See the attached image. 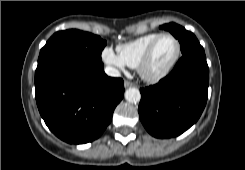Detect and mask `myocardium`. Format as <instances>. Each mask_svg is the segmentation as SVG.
Listing matches in <instances>:
<instances>
[{
  "mask_svg": "<svg viewBox=\"0 0 245 170\" xmlns=\"http://www.w3.org/2000/svg\"><path fill=\"white\" fill-rule=\"evenodd\" d=\"M164 37H170L173 40L175 44L174 55L172 59L170 60V62L163 69H161L158 72H150L147 69V65L152 57L153 51L157 43L160 41V39ZM179 57H180V44H179L178 39L171 33H161L155 39H153L150 42V44L147 46L144 53L140 57L136 68H137L139 75L144 80L149 81V82H159L163 80L164 78H166L172 72V70L174 69V67L176 66L179 60Z\"/></svg>",
  "mask_w": 245,
  "mask_h": 170,
  "instance_id": "f54148a6",
  "label": "myocardium"
}]
</instances>
